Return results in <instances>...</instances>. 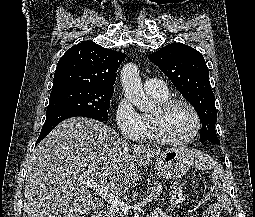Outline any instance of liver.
I'll return each mask as SVG.
<instances>
[{
    "label": "liver",
    "instance_id": "1",
    "mask_svg": "<svg viewBox=\"0 0 255 217\" xmlns=\"http://www.w3.org/2000/svg\"><path fill=\"white\" fill-rule=\"evenodd\" d=\"M181 149L189 159L200 157L198 151ZM160 152L156 145L131 147L93 119H67L32 153L23 217H85L93 206L88 180L106 185L116 195L128 192L139 181V167L149 165Z\"/></svg>",
    "mask_w": 255,
    "mask_h": 217
}]
</instances>
